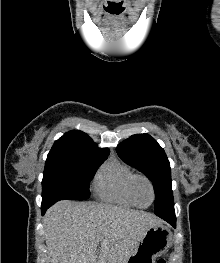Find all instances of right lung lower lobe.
Segmentation results:
<instances>
[{
    "label": "right lung lower lobe",
    "instance_id": "1",
    "mask_svg": "<svg viewBox=\"0 0 220 263\" xmlns=\"http://www.w3.org/2000/svg\"><path fill=\"white\" fill-rule=\"evenodd\" d=\"M54 203H46V204H42L41 206V210H42V215H44V213L46 212V210Z\"/></svg>",
    "mask_w": 220,
    "mask_h": 263
}]
</instances>
